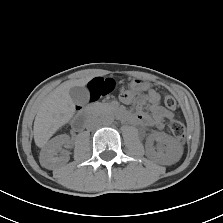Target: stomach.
I'll use <instances>...</instances> for the list:
<instances>
[{
	"instance_id": "obj_1",
	"label": "stomach",
	"mask_w": 223,
	"mask_h": 223,
	"mask_svg": "<svg viewBox=\"0 0 223 223\" xmlns=\"http://www.w3.org/2000/svg\"><path fill=\"white\" fill-rule=\"evenodd\" d=\"M149 85L140 79H133L129 84V89L132 91L145 90Z\"/></svg>"
}]
</instances>
